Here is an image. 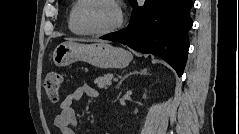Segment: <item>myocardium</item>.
Wrapping results in <instances>:
<instances>
[{
    "label": "myocardium",
    "instance_id": "myocardium-1",
    "mask_svg": "<svg viewBox=\"0 0 239 134\" xmlns=\"http://www.w3.org/2000/svg\"><path fill=\"white\" fill-rule=\"evenodd\" d=\"M92 1H95V0H82L81 4L78 7V10L76 13V21L78 26L81 28V30L85 34L91 35V36H104V35H108L113 32H116L122 26L124 22L123 12L119 3L115 0H106V1H109L111 4H113L118 12V18L115 24L104 30H93L86 25L84 20V10Z\"/></svg>",
    "mask_w": 239,
    "mask_h": 134
}]
</instances>
